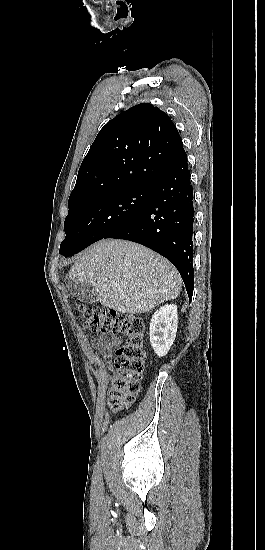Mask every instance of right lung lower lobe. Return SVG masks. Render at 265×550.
Wrapping results in <instances>:
<instances>
[{"label":"right lung lower lobe","mask_w":265,"mask_h":550,"mask_svg":"<svg viewBox=\"0 0 265 550\" xmlns=\"http://www.w3.org/2000/svg\"><path fill=\"white\" fill-rule=\"evenodd\" d=\"M193 222V189L185 153L155 181L145 209L105 238L137 242L166 257L181 274L191 300Z\"/></svg>","instance_id":"98d812e1"}]
</instances>
